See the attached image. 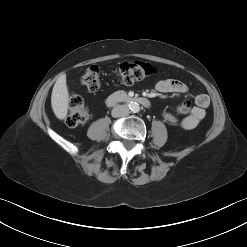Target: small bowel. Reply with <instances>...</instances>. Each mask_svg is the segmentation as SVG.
<instances>
[{
	"instance_id": "small-bowel-1",
	"label": "small bowel",
	"mask_w": 247,
	"mask_h": 247,
	"mask_svg": "<svg viewBox=\"0 0 247 247\" xmlns=\"http://www.w3.org/2000/svg\"><path fill=\"white\" fill-rule=\"evenodd\" d=\"M155 89L159 93H186L188 91V86L179 80L166 79L157 82ZM209 104V97L206 94H199L195 97V106L183 119H178L170 112H164L163 117L170 124L179 125L188 130L194 129L204 119L205 109Z\"/></svg>"
}]
</instances>
